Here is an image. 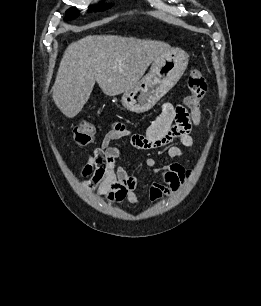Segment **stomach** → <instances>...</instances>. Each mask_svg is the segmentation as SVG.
Segmentation results:
<instances>
[{"instance_id": "1", "label": "stomach", "mask_w": 261, "mask_h": 306, "mask_svg": "<svg viewBox=\"0 0 261 306\" xmlns=\"http://www.w3.org/2000/svg\"><path fill=\"white\" fill-rule=\"evenodd\" d=\"M188 65V55L179 48L160 55L149 73L132 89L123 92L122 105L129 111L150 110L179 81Z\"/></svg>"}]
</instances>
